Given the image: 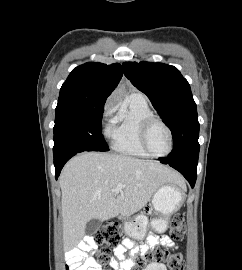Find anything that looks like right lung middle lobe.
Wrapping results in <instances>:
<instances>
[{
    "instance_id": "obj_1",
    "label": "right lung middle lobe",
    "mask_w": 242,
    "mask_h": 270,
    "mask_svg": "<svg viewBox=\"0 0 242 270\" xmlns=\"http://www.w3.org/2000/svg\"><path fill=\"white\" fill-rule=\"evenodd\" d=\"M104 107L56 108L54 160L83 151H108L101 133Z\"/></svg>"
}]
</instances>
